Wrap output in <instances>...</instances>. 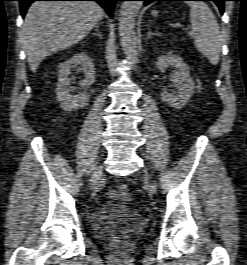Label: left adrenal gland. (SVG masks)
Wrapping results in <instances>:
<instances>
[{
    "mask_svg": "<svg viewBox=\"0 0 247 265\" xmlns=\"http://www.w3.org/2000/svg\"><path fill=\"white\" fill-rule=\"evenodd\" d=\"M157 33H152L151 29L148 28V32H147V39H150L153 35H156Z\"/></svg>",
    "mask_w": 247,
    "mask_h": 265,
    "instance_id": "1",
    "label": "left adrenal gland"
}]
</instances>
